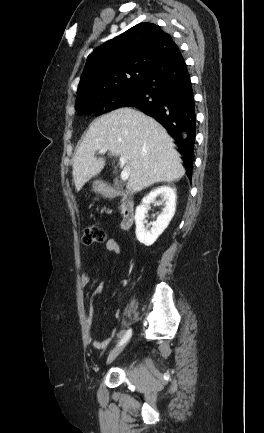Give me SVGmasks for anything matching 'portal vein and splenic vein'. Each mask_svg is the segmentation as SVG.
<instances>
[{"label":"portal vein and splenic vein","mask_w":264,"mask_h":433,"mask_svg":"<svg viewBox=\"0 0 264 433\" xmlns=\"http://www.w3.org/2000/svg\"><path fill=\"white\" fill-rule=\"evenodd\" d=\"M106 152H107V149L103 148V149H100L98 153L104 154ZM126 163H127L126 157L121 156L119 159V164H120V167L123 168L121 175H120V178L122 181H126L130 175V168L126 165Z\"/></svg>","instance_id":"portal-vein-and-splenic-vein-1"}]
</instances>
